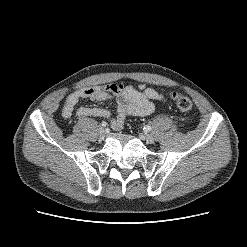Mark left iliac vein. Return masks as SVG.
Segmentation results:
<instances>
[{"label": "left iliac vein", "mask_w": 247, "mask_h": 247, "mask_svg": "<svg viewBox=\"0 0 247 247\" xmlns=\"http://www.w3.org/2000/svg\"><path fill=\"white\" fill-rule=\"evenodd\" d=\"M140 137L145 140L147 143L152 144L154 143V137L150 134H140Z\"/></svg>", "instance_id": "1"}]
</instances>
